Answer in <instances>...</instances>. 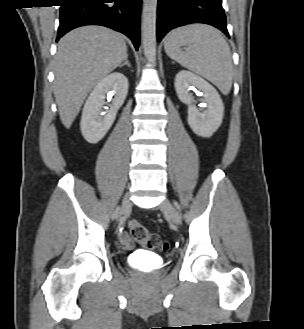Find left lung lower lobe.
I'll use <instances>...</instances> for the list:
<instances>
[{
	"label": "left lung lower lobe",
	"instance_id": "1",
	"mask_svg": "<svg viewBox=\"0 0 304 329\" xmlns=\"http://www.w3.org/2000/svg\"><path fill=\"white\" fill-rule=\"evenodd\" d=\"M157 10L158 42L171 29L190 23L209 24L229 36L222 0H158Z\"/></svg>",
	"mask_w": 304,
	"mask_h": 329
}]
</instances>
